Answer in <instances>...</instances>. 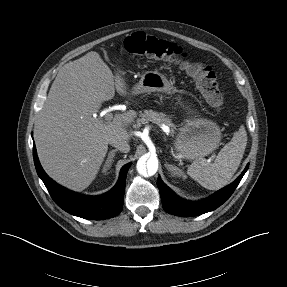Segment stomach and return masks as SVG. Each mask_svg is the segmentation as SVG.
I'll return each instance as SVG.
<instances>
[{
	"label": "stomach",
	"mask_w": 287,
	"mask_h": 287,
	"mask_svg": "<svg viewBox=\"0 0 287 287\" xmlns=\"http://www.w3.org/2000/svg\"><path fill=\"white\" fill-rule=\"evenodd\" d=\"M175 91V87L165 75L158 71H146L131 92L133 95H139L150 92L171 94ZM181 105L188 116L174 140L176 153L189 160L209 155L220 144L222 134L219 126L200 117L191 105L182 102Z\"/></svg>",
	"instance_id": "0dacf381"
}]
</instances>
